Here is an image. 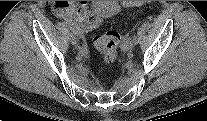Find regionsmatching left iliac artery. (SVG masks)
I'll use <instances>...</instances> for the list:
<instances>
[{
    "mask_svg": "<svg viewBox=\"0 0 207 121\" xmlns=\"http://www.w3.org/2000/svg\"><path fill=\"white\" fill-rule=\"evenodd\" d=\"M124 40L125 41H128V42H134V44H137L138 41H137V38L131 34H125L124 35Z\"/></svg>",
    "mask_w": 207,
    "mask_h": 121,
    "instance_id": "1",
    "label": "left iliac artery"
}]
</instances>
